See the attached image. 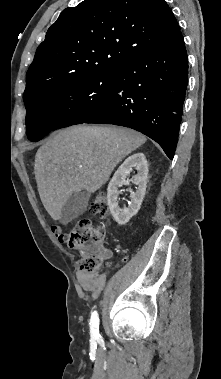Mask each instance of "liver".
I'll use <instances>...</instances> for the list:
<instances>
[{
  "instance_id": "6515ba94",
  "label": "liver",
  "mask_w": 221,
  "mask_h": 379,
  "mask_svg": "<svg viewBox=\"0 0 221 379\" xmlns=\"http://www.w3.org/2000/svg\"><path fill=\"white\" fill-rule=\"evenodd\" d=\"M146 140L135 130L115 126H74L50 138L36 153L34 173L51 218L60 219L73 193L100 189L119 162Z\"/></svg>"
}]
</instances>
